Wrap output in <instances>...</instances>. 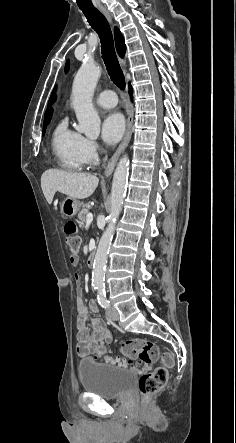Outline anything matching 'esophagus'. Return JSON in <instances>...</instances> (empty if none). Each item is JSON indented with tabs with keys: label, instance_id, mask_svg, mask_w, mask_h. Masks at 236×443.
Returning a JSON list of instances; mask_svg holds the SVG:
<instances>
[{
	"label": "esophagus",
	"instance_id": "1",
	"mask_svg": "<svg viewBox=\"0 0 236 443\" xmlns=\"http://www.w3.org/2000/svg\"><path fill=\"white\" fill-rule=\"evenodd\" d=\"M100 11L105 15V17L112 22V18L109 14V12L106 10V8L104 7H100L99 8ZM120 63L121 65H124V61L120 58ZM133 117H134V113L133 110H131V112L129 113L128 119H127V130H126V134L122 140V142L120 143V145L118 146L117 150L115 151V153L113 154V156L111 157V159L109 160L106 169H105V176L108 177L112 174L116 163L118 161L119 156L121 155V153L125 150V148L128 146L131 136H132V124H133Z\"/></svg>",
	"mask_w": 236,
	"mask_h": 443
}]
</instances>
